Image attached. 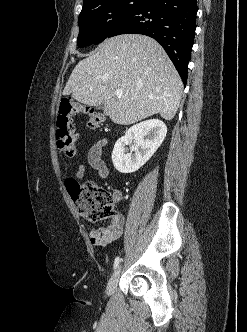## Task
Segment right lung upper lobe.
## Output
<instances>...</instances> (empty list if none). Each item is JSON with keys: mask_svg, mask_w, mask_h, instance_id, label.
Returning a JSON list of instances; mask_svg holds the SVG:
<instances>
[{"mask_svg": "<svg viewBox=\"0 0 247 332\" xmlns=\"http://www.w3.org/2000/svg\"><path fill=\"white\" fill-rule=\"evenodd\" d=\"M99 1H101V0H84L83 1V8L82 9H85L88 6H91V5H93V4H95V3L99 2Z\"/></svg>", "mask_w": 247, "mask_h": 332, "instance_id": "cb5924a9", "label": "right lung upper lobe"}]
</instances>
